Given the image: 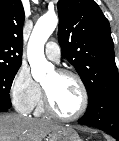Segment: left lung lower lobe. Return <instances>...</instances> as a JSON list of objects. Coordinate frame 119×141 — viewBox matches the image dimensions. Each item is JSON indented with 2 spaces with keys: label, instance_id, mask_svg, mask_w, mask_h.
I'll list each match as a JSON object with an SVG mask.
<instances>
[{
  "label": "left lung lower lobe",
  "instance_id": "obj_1",
  "mask_svg": "<svg viewBox=\"0 0 119 141\" xmlns=\"http://www.w3.org/2000/svg\"><path fill=\"white\" fill-rule=\"evenodd\" d=\"M78 122L97 127L119 141V90L106 92L89 102Z\"/></svg>",
  "mask_w": 119,
  "mask_h": 141
}]
</instances>
